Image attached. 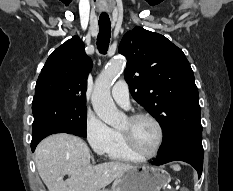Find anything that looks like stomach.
<instances>
[{
  "instance_id": "obj_1",
  "label": "stomach",
  "mask_w": 233,
  "mask_h": 191,
  "mask_svg": "<svg viewBox=\"0 0 233 191\" xmlns=\"http://www.w3.org/2000/svg\"><path fill=\"white\" fill-rule=\"evenodd\" d=\"M170 179V175L163 168L132 166L113 182L110 190L100 191H160Z\"/></svg>"
}]
</instances>
